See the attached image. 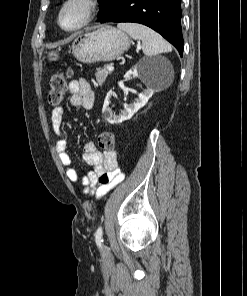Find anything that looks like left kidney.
I'll use <instances>...</instances> for the list:
<instances>
[{
	"label": "left kidney",
	"instance_id": "obj_1",
	"mask_svg": "<svg viewBox=\"0 0 247 296\" xmlns=\"http://www.w3.org/2000/svg\"><path fill=\"white\" fill-rule=\"evenodd\" d=\"M170 63L163 58L156 59H141L139 63L131 70H129L124 78L131 79L132 77H138L143 83L146 84L147 89L138 94V98L132 104H125L124 110L116 115L109 107L110 99L112 97V91H110L104 101L102 113L106 121L110 124H119L123 121L130 119L139 109L146 105L148 100L154 94V81L160 73L161 69L168 68Z\"/></svg>",
	"mask_w": 247,
	"mask_h": 296
}]
</instances>
